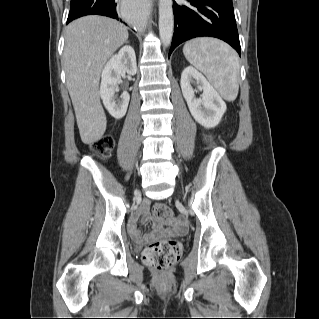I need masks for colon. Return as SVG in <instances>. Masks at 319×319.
Masks as SVG:
<instances>
[{"instance_id": "5ec220e1", "label": "colon", "mask_w": 319, "mask_h": 319, "mask_svg": "<svg viewBox=\"0 0 319 319\" xmlns=\"http://www.w3.org/2000/svg\"><path fill=\"white\" fill-rule=\"evenodd\" d=\"M114 146L113 138L105 136L93 143L92 147L98 154H108ZM152 215L157 220H169L173 217L172 210L165 204L153 207ZM182 244L174 239L161 240L148 244L142 253L144 264L163 276L180 258Z\"/></svg>"}]
</instances>
